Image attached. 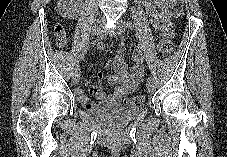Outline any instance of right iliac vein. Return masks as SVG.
Instances as JSON below:
<instances>
[{
    "instance_id": "obj_1",
    "label": "right iliac vein",
    "mask_w": 227,
    "mask_h": 157,
    "mask_svg": "<svg viewBox=\"0 0 227 157\" xmlns=\"http://www.w3.org/2000/svg\"><path fill=\"white\" fill-rule=\"evenodd\" d=\"M94 33L97 34V35L100 33L98 27H96V28L94 29ZM79 79H80V74H79V72H78L77 70H75V71L72 73V82H73L74 84H77V83L79 82Z\"/></svg>"
}]
</instances>
